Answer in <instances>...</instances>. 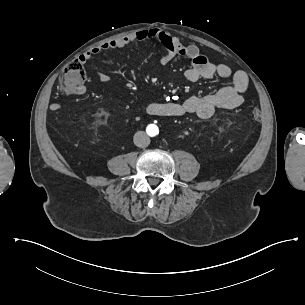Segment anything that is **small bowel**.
<instances>
[{
	"label": "small bowel",
	"instance_id": "obj_1",
	"mask_svg": "<svg viewBox=\"0 0 305 305\" xmlns=\"http://www.w3.org/2000/svg\"><path fill=\"white\" fill-rule=\"evenodd\" d=\"M149 40H158L165 47V52L160 57L161 64H168L176 57H184L191 61V67L184 74L189 82L210 79L214 76L232 79L231 85L205 96H191L181 101L168 98L162 102H151L146 107L149 114L174 117L195 114L205 119L210 118L217 109H234L243 103L249 84L248 77L244 72L233 73L229 66L213 63L201 53L198 46L185 45L178 38L163 30H142L106 41L81 54L78 61L83 64L99 53L120 49L134 42ZM96 77L101 83L110 82L109 76L104 73L98 72ZM77 92L83 93L84 88L80 87Z\"/></svg>",
	"mask_w": 305,
	"mask_h": 305
}]
</instances>
